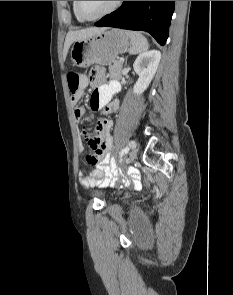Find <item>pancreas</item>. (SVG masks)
I'll list each match as a JSON object with an SVG mask.
<instances>
[{
	"label": "pancreas",
	"mask_w": 233,
	"mask_h": 295,
	"mask_svg": "<svg viewBox=\"0 0 233 295\" xmlns=\"http://www.w3.org/2000/svg\"><path fill=\"white\" fill-rule=\"evenodd\" d=\"M123 67V62L120 60L113 61V64L109 65V75L113 79L121 78V71Z\"/></svg>",
	"instance_id": "obj_1"
}]
</instances>
